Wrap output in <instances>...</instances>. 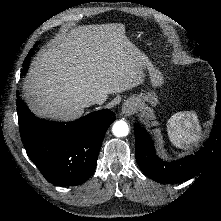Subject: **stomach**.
Here are the masks:
<instances>
[{"instance_id":"stomach-1","label":"stomach","mask_w":221,"mask_h":221,"mask_svg":"<svg viewBox=\"0 0 221 221\" xmlns=\"http://www.w3.org/2000/svg\"><path fill=\"white\" fill-rule=\"evenodd\" d=\"M143 68L153 87H160L164 83V77L161 71L148 59V57L143 62ZM133 99L140 109H143L147 102L151 105L157 104V98L150 93L133 97Z\"/></svg>"}]
</instances>
